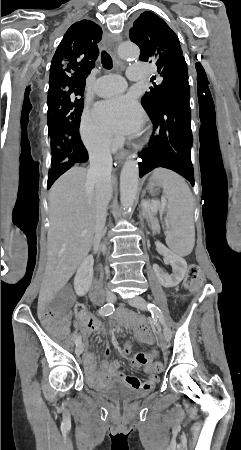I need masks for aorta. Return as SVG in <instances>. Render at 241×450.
<instances>
[{
	"instance_id": "obj_1",
	"label": "aorta",
	"mask_w": 241,
	"mask_h": 450,
	"mask_svg": "<svg viewBox=\"0 0 241 450\" xmlns=\"http://www.w3.org/2000/svg\"><path fill=\"white\" fill-rule=\"evenodd\" d=\"M119 56L122 59L138 58L140 54L139 48L133 43H123L118 49ZM139 183V166L138 162L131 155L125 161L120 174V200L124 209L133 206Z\"/></svg>"
}]
</instances>
